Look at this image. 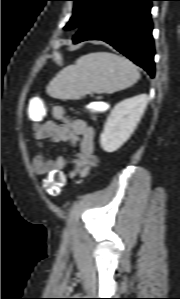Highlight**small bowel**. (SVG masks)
<instances>
[{"label":"small bowel","instance_id":"obj_1","mask_svg":"<svg viewBox=\"0 0 180 299\" xmlns=\"http://www.w3.org/2000/svg\"><path fill=\"white\" fill-rule=\"evenodd\" d=\"M33 124V139L36 141L39 152L34 157L32 169L37 175H47L62 171L67 164H72L69 177H85L92 168L98 164L95 154V131L83 119H71L67 116L62 106H55L52 111V119L40 120L30 117ZM48 142L69 143L78 145V151L72 158L59 155L56 158H48L44 149Z\"/></svg>","mask_w":180,"mask_h":299}]
</instances>
